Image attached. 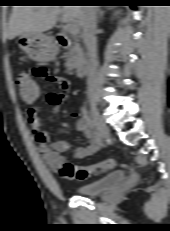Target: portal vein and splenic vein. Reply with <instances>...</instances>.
I'll list each match as a JSON object with an SVG mask.
<instances>
[{
	"mask_svg": "<svg viewBox=\"0 0 170 231\" xmlns=\"http://www.w3.org/2000/svg\"><path fill=\"white\" fill-rule=\"evenodd\" d=\"M67 29L71 34H77L79 32V27L76 23H68L67 24Z\"/></svg>",
	"mask_w": 170,
	"mask_h": 231,
	"instance_id": "obj_1",
	"label": "portal vein and splenic vein"
}]
</instances>
